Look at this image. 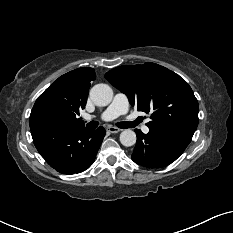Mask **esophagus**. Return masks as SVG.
I'll list each match as a JSON object with an SVG mask.
<instances>
[{
  "instance_id": "obj_1",
  "label": "esophagus",
  "mask_w": 233,
  "mask_h": 233,
  "mask_svg": "<svg viewBox=\"0 0 233 233\" xmlns=\"http://www.w3.org/2000/svg\"><path fill=\"white\" fill-rule=\"evenodd\" d=\"M107 131H108L109 133L116 134V133L120 132V129H119V128H116V127H113V126H109V127L107 128Z\"/></svg>"
}]
</instances>
